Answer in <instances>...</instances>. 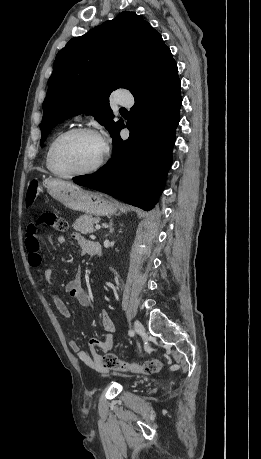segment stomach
<instances>
[{
  "label": "stomach",
  "instance_id": "stomach-1",
  "mask_svg": "<svg viewBox=\"0 0 261 459\" xmlns=\"http://www.w3.org/2000/svg\"><path fill=\"white\" fill-rule=\"evenodd\" d=\"M46 187L49 194L65 207L89 215L111 216L117 206L103 195L84 190L81 187L60 179H48Z\"/></svg>",
  "mask_w": 261,
  "mask_h": 459
}]
</instances>
